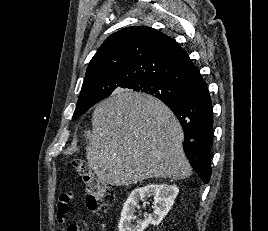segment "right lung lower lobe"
I'll return each instance as SVG.
<instances>
[{"label":"right lung lower lobe","instance_id":"98d812e1","mask_svg":"<svg viewBox=\"0 0 268 231\" xmlns=\"http://www.w3.org/2000/svg\"><path fill=\"white\" fill-rule=\"evenodd\" d=\"M179 99L163 101L176 115L184 131V152L191 166L207 184L211 176L213 144L212 102L206 82L200 79Z\"/></svg>","mask_w":268,"mask_h":231}]
</instances>
